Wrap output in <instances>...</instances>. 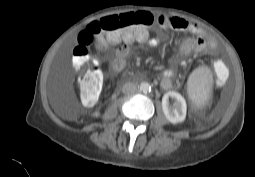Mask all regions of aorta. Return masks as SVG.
<instances>
[{
  "label": "aorta",
  "instance_id": "762f6f07",
  "mask_svg": "<svg viewBox=\"0 0 255 177\" xmlns=\"http://www.w3.org/2000/svg\"><path fill=\"white\" fill-rule=\"evenodd\" d=\"M139 89L143 93H147L151 91V85L147 82H142L139 86Z\"/></svg>",
  "mask_w": 255,
  "mask_h": 177
}]
</instances>
